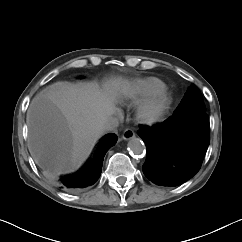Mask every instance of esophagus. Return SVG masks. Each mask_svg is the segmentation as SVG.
Wrapping results in <instances>:
<instances>
[{
	"mask_svg": "<svg viewBox=\"0 0 242 242\" xmlns=\"http://www.w3.org/2000/svg\"><path fill=\"white\" fill-rule=\"evenodd\" d=\"M133 137H135V132L133 129H130V128H127L122 134V138L124 140H130Z\"/></svg>",
	"mask_w": 242,
	"mask_h": 242,
	"instance_id": "obj_1",
	"label": "esophagus"
}]
</instances>
